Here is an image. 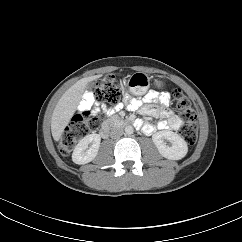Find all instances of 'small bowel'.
Masks as SVG:
<instances>
[{"instance_id": "small-bowel-1", "label": "small bowel", "mask_w": 242, "mask_h": 242, "mask_svg": "<svg viewBox=\"0 0 242 242\" xmlns=\"http://www.w3.org/2000/svg\"><path fill=\"white\" fill-rule=\"evenodd\" d=\"M126 101L129 110L138 111L142 115L161 119L156 125L143 122L138 123L142 131L147 134L152 133L155 129L178 130L182 126V119L168 108L171 102V95L168 92L158 93L156 91H149L143 100L126 96ZM147 103H159L160 106H149ZM92 104V94L86 93L80 107L82 109H88ZM121 106L122 105L119 104L117 108Z\"/></svg>"}]
</instances>
